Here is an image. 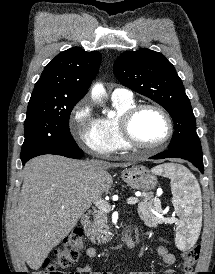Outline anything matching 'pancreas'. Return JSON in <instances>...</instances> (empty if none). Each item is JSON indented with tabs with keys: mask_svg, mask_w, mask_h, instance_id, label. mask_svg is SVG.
Masks as SVG:
<instances>
[{
	"mask_svg": "<svg viewBox=\"0 0 215 274\" xmlns=\"http://www.w3.org/2000/svg\"><path fill=\"white\" fill-rule=\"evenodd\" d=\"M142 201L138 204V213L142 220L150 226L158 224L159 219L153 214V210H161L160 200L153 198L152 192L142 193ZM108 228L107 214L102 210L95 211L93 221L86 225V235L94 244H104L110 241L108 234L104 231Z\"/></svg>",
	"mask_w": 215,
	"mask_h": 274,
	"instance_id": "pancreas-1",
	"label": "pancreas"
}]
</instances>
